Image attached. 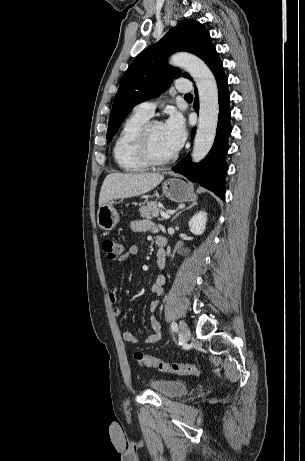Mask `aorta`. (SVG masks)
<instances>
[{"label": "aorta", "instance_id": "obj_1", "mask_svg": "<svg viewBox=\"0 0 305 461\" xmlns=\"http://www.w3.org/2000/svg\"><path fill=\"white\" fill-rule=\"evenodd\" d=\"M170 63L185 68L194 79L199 93V121L192 152L193 162H200L208 154L216 136L219 101L215 77L209 67L198 57L178 53Z\"/></svg>", "mask_w": 305, "mask_h": 461}]
</instances>
